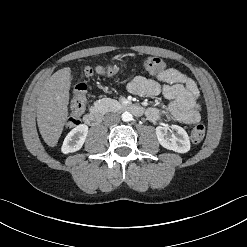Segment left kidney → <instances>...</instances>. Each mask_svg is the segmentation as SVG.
Segmentation results:
<instances>
[{
	"instance_id": "left-kidney-1",
	"label": "left kidney",
	"mask_w": 247,
	"mask_h": 247,
	"mask_svg": "<svg viewBox=\"0 0 247 247\" xmlns=\"http://www.w3.org/2000/svg\"><path fill=\"white\" fill-rule=\"evenodd\" d=\"M168 125L156 127V136L160 145L177 153H186L190 150V140L187 132L178 125H172V132H168Z\"/></svg>"
}]
</instances>
